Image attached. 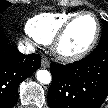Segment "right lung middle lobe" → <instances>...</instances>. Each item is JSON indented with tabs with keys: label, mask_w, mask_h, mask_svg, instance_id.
Instances as JSON below:
<instances>
[{
	"label": "right lung middle lobe",
	"mask_w": 108,
	"mask_h": 108,
	"mask_svg": "<svg viewBox=\"0 0 108 108\" xmlns=\"http://www.w3.org/2000/svg\"><path fill=\"white\" fill-rule=\"evenodd\" d=\"M10 5H11L10 2L4 1V0H0V12L5 11L6 8H7L8 6H10Z\"/></svg>",
	"instance_id": "obj_1"
}]
</instances>
